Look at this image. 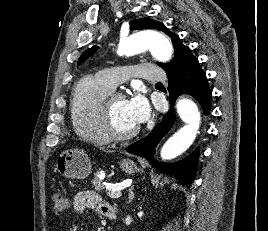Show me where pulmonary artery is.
Instances as JSON below:
<instances>
[{
    "mask_svg": "<svg viewBox=\"0 0 268 231\" xmlns=\"http://www.w3.org/2000/svg\"><path fill=\"white\" fill-rule=\"evenodd\" d=\"M132 72H135L140 78L148 82L163 81L165 79L161 68L151 63H141L133 67H109L101 70L99 77L114 90Z\"/></svg>",
    "mask_w": 268,
    "mask_h": 231,
    "instance_id": "1",
    "label": "pulmonary artery"
}]
</instances>
